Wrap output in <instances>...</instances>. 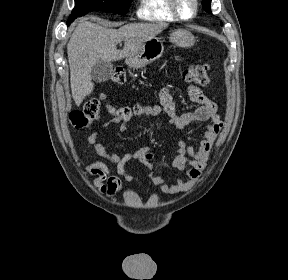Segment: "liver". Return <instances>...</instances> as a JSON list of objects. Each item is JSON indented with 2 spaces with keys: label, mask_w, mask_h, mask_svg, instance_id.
I'll return each mask as SVG.
<instances>
[{
  "label": "liver",
  "mask_w": 288,
  "mask_h": 280,
  "mask_svg": "<svg viewBox=\"0 0 288 280\" xmlns=\"http://www.w3.org/2000/svg\"><path fill=\"white\" fill-rule=\"evenodd\" d=\"M167 26L166 23H130L113 29L87 21L79 23L67 44L75 104L79 106L92 93L94 84L91 72L97 61L112 62L127 58ZM122 41L124 48L117 50V45Z\"/></svg>",
  "instance_id": "liver-1"
}]
</instances>
